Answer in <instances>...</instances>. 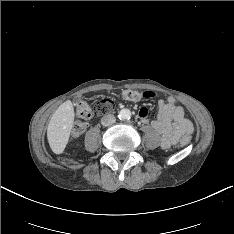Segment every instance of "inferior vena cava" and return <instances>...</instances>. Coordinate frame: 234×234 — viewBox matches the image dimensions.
Masks as SVG:
<instances>
[{
	"label": "inferior vena cava",
	"mask_w": 234,
	"mask_h": 234,
	"mask_svg": "<svg viewBox=\"0 0 234 234\" xmlns=\"http://www.w3.org/2000/svg\"><path fill=\"white\" fill-rule=\"evenodd\" d=\"M116 121V118L114 115L112 114H108V115H104L102 118H101V124L103 126H110L112 124H114Z\"/></svg>",
	"instance_id": "1"
}]
</instances>
